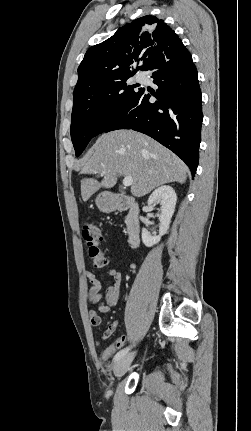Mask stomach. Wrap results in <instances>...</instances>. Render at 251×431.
<instances>
[{
	"label": "stomach",
	"instance_id": "0dacf381",
	"mask_svg": "<svg viewBox=\"0 0 251 431\" xmlns=\"http://www.w3.org/2000/svg\"><path fill=\"white\" fill-rule=\"evenodd\" d=\"M96 205L102 212H111L116 208V201L109 193H101L96 198Z\"/></svg>",
	"mask_w": 251,
	"mask_h": 431
}]
</instances>
